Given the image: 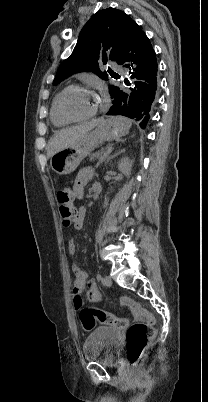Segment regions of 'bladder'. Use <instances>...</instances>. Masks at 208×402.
<instances>
[{"instance_id": "bladder-1", "label": "bladder", "mask_w": 208, "mask_h": 402, "mask_svg": "<svg viewBox=\"0 0 208 402\" xmlns=\"http://www.w3.org/2000/svg\"><path fill=\"white\" fill-rule=\"evenodd\" d=\"M120 345L117 329L109 326L97 327L84 343V355L86 359L93 358L100 362H113Z\"/></svg>"}]
</instances>
